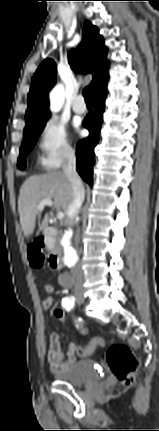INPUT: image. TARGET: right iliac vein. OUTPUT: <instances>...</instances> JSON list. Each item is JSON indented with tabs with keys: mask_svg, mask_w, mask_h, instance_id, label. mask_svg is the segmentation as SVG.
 I'll use <instances>...</instances> for the list:
<instances>
[{
	"mask_svg": "<svg viewBox=\"0 0 159 431\" xmlns=\"http://www.w3.org/2000/svg\"><path fill=\"white\" fill-rule=\"evenodd\" d=\"M75 297H76L78 303H83L84 300H85L84 296H83V293L81 291H76L75 292Z\"/></svg>",
	"mask_w": 159,
	"mask_h": 431,
	"instance_id": "63e3f726",
	"label": "right iliac vein"
}]
</instances>
